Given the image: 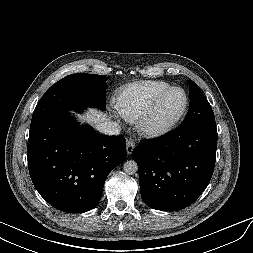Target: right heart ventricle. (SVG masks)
Wrapping results in <instances>:
<instances>
[{
	"label": "right heart ventricle",
	"instance_id": "obj_1",
	"mask_svg": "<svg viewBox=\"0 0 253 253\" xmlns=\"http://www.w3.org/2000/svg\"><path fill=\"white\" fill-rule=\"evenodd\" d=\"M171 86L160 80L135 82L124 87L116 99V108L122 118L135 122L148 109L157 95Z\"/></svg>",
	"mask_w": 253,
	"mask_h": 253
}]
</instances>
